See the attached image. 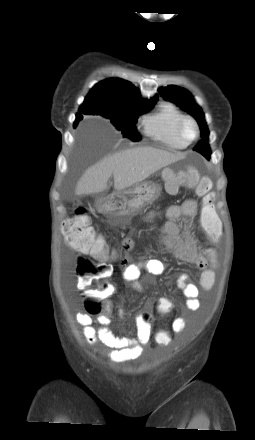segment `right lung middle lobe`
I'll return each mask as SVG.
<instances>
[{"label": "right lung middle lobe", "mask_w": 255, "mask_h": 440, "mask_svg": "<svg viewBox=\"0 0 255 440\" xmlns=\"http://www.w3.org/2000/svg\"><path fill=\"white\" fill-rule=\"evenodd\" d=\"M154 104L155 102L114 105L85 98L77 113L79 120L76 124L83 118V114L101 115L110 119L116 129L122 132L123 137L139 141L141 137L135 127L136 118L151 110Z\"/></svg>", "instance_id": "1"}]
</instances>
